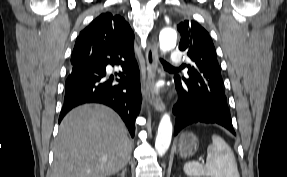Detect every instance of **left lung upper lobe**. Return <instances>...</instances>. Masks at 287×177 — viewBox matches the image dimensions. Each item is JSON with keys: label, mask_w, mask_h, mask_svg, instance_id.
<instances>
[{"label": "left lung upper lobe", "mask_w": 287, "mask_h": 177, "mask_svg": "<svg viewBox=\"0 0 287 177\" xmlns=\"http://www.w3.org/2000/svg\"><path fill=\"white\" fill-rule=\"evenodd\" d=\"M177 28L181 33L179 49L193 62L187 65L188 76L182 79L198 86L203 93L212 87L223 90L215 47L208 32L192 20L182 21Z\"/></svg>", "instance_id": "left-lung-upper-lobe-1"}]
</instances>
